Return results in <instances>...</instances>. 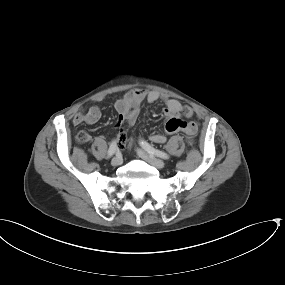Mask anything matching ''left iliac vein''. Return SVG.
<instances>
[{"label": "left iliac vein", "instance_id": "left-iliac-vein-1", "mask_svg": "<svg viewBox=\"0 0 285 285\" xmlns=\"http://www.w3.org/2000/svg\"><path fill=\"white\" fill-rule=\"evenodd\" d=\"M137 153L142 159H144L146 162L153 165L154 167H156L158 169L164 168L165 163L163 160L158 159L151 154H148L145 150H142V149H138Z\"/></svg>", "mask_w": 285, "mask_h": 285}]
</instances>
